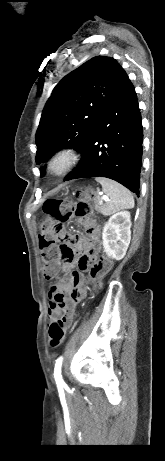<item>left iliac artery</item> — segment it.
I'll list each match as a JSON object with an SVG mask.
<instances>
[{"instance_id":"1","label":"left iliac artery","mask_w":165,"mask_h":461,"mask_svg":"<svg viewBox=\"0 0 165 461\" xmlns=\"http://www.w3.org/2000/svg\"><path fill=\"white\" fill-rule=\"evenodd\" d=\"M61 365H62V357L57 359L55 368H54V377H55V381L58 386L64 385V381L61 375Z\"/></svg>"}]
</instances>
